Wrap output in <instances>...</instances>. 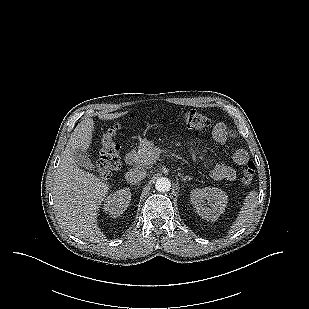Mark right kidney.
Returning <instances> with one entry per match:
<instances>
[{"instance_id":"1","label":"right kidney","mask_w":309,"mask_h":309,"mask_svg":"<svg viewBox=\"0 0 309 309\" xmlns=\"http://www.w3.org/2000/svg\"><path fill=\"white\" fill-rule=\"evenodd\" d=\"M130 200L131 192L129 188L120 189L105 198L103 209L106 213L116 218L127 209Z\"/></svg>"}]
</instances>
